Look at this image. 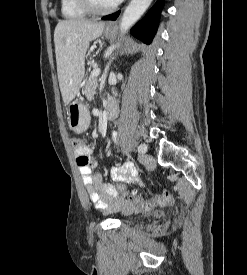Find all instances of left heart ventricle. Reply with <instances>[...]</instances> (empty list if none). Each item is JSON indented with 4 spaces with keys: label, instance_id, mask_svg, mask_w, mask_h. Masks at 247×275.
Wrapping results in <instances>:
<instances>
[{
    "label": "left heart ventricle",
    "instance_id": "obj_1",
    "mask_svg": "<svg viewBox=\"0 0 247 275\" xmlns=\"http://www.w3.org/2000/svg\"><path fill=\"white\" fill-rule=\"evenodd\" d=\"M92 2L98 8H109L116 3L115 0H92Z\"/></svg>",
    "mask_w": 247,
    "mask_h": 275
}]
</instances>
